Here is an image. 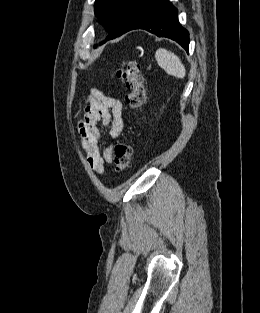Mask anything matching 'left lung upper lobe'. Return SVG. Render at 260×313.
I'll return each instance as SVG.
<instances>
[{"label":"left lung upper lobe","instance_id":"left-lung-upper-lobe-1","mask_svg":"<svg viewBox=\"0 0 260 313\" xmlns=\"http://www.w3.org/2000/svg\"><path fill=\"white\" fill-rule=\"evenodd\" d=\"M154 0H96L95 15L110 32L107 40L123 34L135 18Z\"/></svg>","mask_w":260,"mask_h":313}]
</instances>
